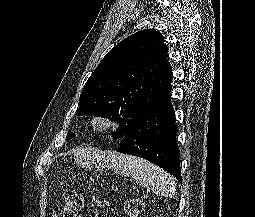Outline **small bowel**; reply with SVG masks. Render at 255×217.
<instances>
[{"mask_svg": "<svg viewBox=\"0 0 255 217\" xmlns=\"http://www.w3.org/2000/svg\"><path fill=\"white\" fill-rule=\"evenodd\" d=\"M78 217H84L83 215H79Z\"/></svg>", "mask_w": 255, "mask_h": 217, "instance_id": "small-bowel-1", "label": "small bowel"}]
</instances>
